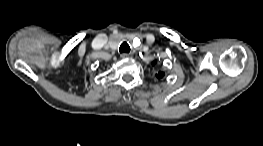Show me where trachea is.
I'll return each instance as SVG.
<instances>
[{
	"instance_id": "3493384b",
	"label": "trachea",
	"mask_w": 263,
	"mask_h": 146,
	"mask_svg": "<svg viewBox=\"0 0 263 146\" xmlns=\"http://www.w3.org/2000/svg\"><path fill=\"white\" fill-rule=\"evenodd\" d=\"M120 53H129L130 52V46L127 42H123L119 47Z\"/></svg>"
}]
</instances>
